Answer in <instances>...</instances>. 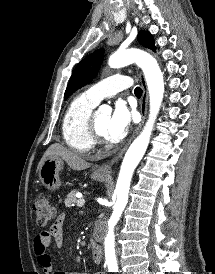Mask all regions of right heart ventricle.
Returning a JSON list of instances; mask_svg holds the SVG:
<instances>
[{
	"instance_id": "obj_1",
	"label": "right heart ventricle",
	"mask_w": 215,
	"mask_h": 274,
	"mask_svg": "<svg viewBox=\"0 0 215 274\" xmlns=\"http://www.w3.org/2000/svg\"><path fill=\"white\" fill-rule=\"evenodd\" d=\"M97 104L84 94L78 95L70 102L62 120V135L65 143L71 149L86 153L93 146L88 132V118Z\"/></svg>"
}]
</instances>
